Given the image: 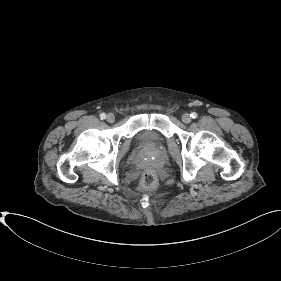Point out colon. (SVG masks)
Masks as SVG:
<instances>
[{
  "instance_id": "colon-1",
  "label": "colon",
  "mask_w": 281,
  "mask_h": 281,
  "mask_svg": "<svg viewBox=\"0 0 281 281\" xmlns=\"http://www.w3.org/2000/svg\"><path fill=\"white\" fill-rule=\"evenodd\" d=\"M157 181V174L154 170H147L143 173L140 190L149 191L154 188Z\"/></svg>"
}]
</instances>
